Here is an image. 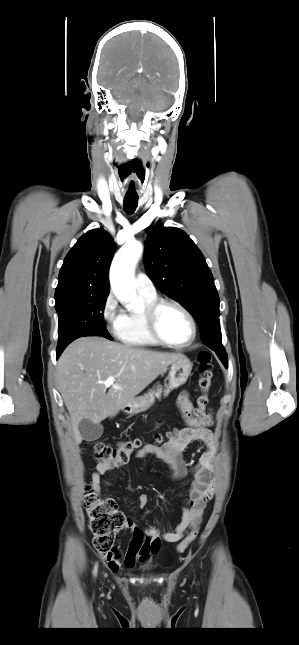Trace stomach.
Listing matches in <instances>:
<instances>
[{"label": "stomach", "instance_id": "0dacf381", "mask_svg": "<svg viewBox=\"0 0 299 645\" xmlns=\"http://www.w3.org/2000/svg\"><path fill=\"white\" fill-rule=\"evenodd\" d=\"M192 367L193 364L185 356L173 362L168 375L169 388L175 389L185 384L191 373ZM153 400L154 397L152 393L136 397L123 408V411L127 414H137L146 411L151 407Z\"/></svg>", "mask_w": 299, "mask_h": 645}]
</instances>
